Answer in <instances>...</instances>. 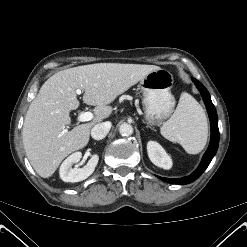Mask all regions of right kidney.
Segmentation results:
<instances>
[{
	"label": "right kidney",
	"instance_id": "1",
	"mask_svg": "<svg viewBox=\"0 0 247 247\" xmlns=\"http://www.w3.org/2000/svg\"><path fill=\"white\" fill-rule=\"evenodd\" d=\"M82 157L81 152H75L67 157L60 166L59 174L60 178L64 182H80L88 178L95 170L98 164L99 156L97 154L92 155L88 163L83 168L74 167V163H78Z\"/></svg>",
	"mask_w": 247,
	"mask_h": 247
}]
</instances>
